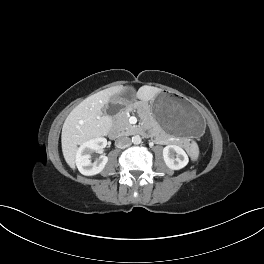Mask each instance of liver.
Here are the masks:
<instances>
[{
	"mask_svg": "<svg viewBox=\"0 0 264 264\" xmlns=\"http://www.w3.org/2000/svg\"><path fill=\"white\" fill-rule=\"evenodd\" d=\"M125 90L124 87H111L87 97L67 116L61 135L62 152L65 161L75 169L77 146L87 140L106 136L113 125L112 118L104 115L102 109L110 98ZM161 89L151 86L141 87L136 97L143 102L152 100Z\"/></svg>",
	"mask_w": 264,
	"mask_h": 264,
	"instance_id": "1",
	"label": "liver"
}]
</instances>
